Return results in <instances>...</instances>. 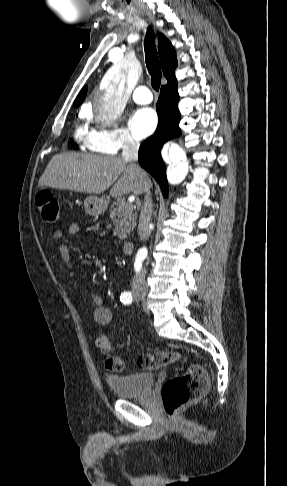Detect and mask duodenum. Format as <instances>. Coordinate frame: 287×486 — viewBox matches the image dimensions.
<instances>
[{
    "label": "duodenum",
    "instance_id": "duodenum-1",
    "mask_svg": "<svg viewBox=\"0 0 287 486\" xmlns=\"http://www.w3.org/2000/svg\"><path fill=\"white\" fill-rule=\"evenodd\" d=\"M133 248H134V244L131 240H128L126 241L123 246H122V252L125 254V255H128L130 254L132 251H133Z\"/></svg>",
    "mask_w": 287,
    "mask_h": 486
}]
</instances>
